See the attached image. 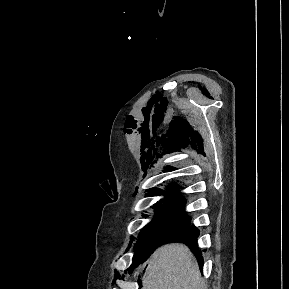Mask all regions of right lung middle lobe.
Instances as JSON below:
<instances>
[{
    "instance_id": "1",
    "label": "right lung middle lobe",
    "mask_w": 289,
    "mask_h": 289,
    "mask_svg": "<svg viewBox=\"0 0 289 289\" xmlns=\"http://www.w3.org/2000/svg\"><path fill=\"white\" fill-rule=\"evenodd\" d=\"M185 200L181 197H171L166 203L156 209V217L140 233L138 241L150 237L174 236L191 220L183 207ZM137 241V242H138Z\"/></svg>"
}]
</instances>
